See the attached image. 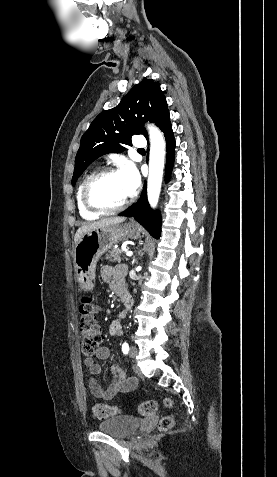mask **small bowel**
I'll use <instances>...</instances> for the list:
<instances>
[{
    "instance_id": "1",
    "label": "small bowel",
    "mask_w": 277,
    "mask_h": 477,
    "mask_svg": "<svg viewBox=\"0 0 277 477\" xmlns=\"http://www.w3.org/2000/svg\"><path fill=\"white\" fill-rule=\"evenodd\" d=\"M101 278L107 282L110 287L118 294L124 291V276L126 273V267L124 265H104L101 268ZM109 333L112 337H119L122 335V326L119 320H114L109 326ZM110 350L108 347H100L94 354V356L86 357L84 359V365L88 368L91 377L88 380L87 388L92 396L103 400H111L118 394L128 393L135 389L137 381L133 377H127L123 370L114 365L111 368L112 381L107 389H102L98 384L95 376L100 374L102 367L95 361L105 360L109 358Z\"/></svg>"
}]
</instances>
